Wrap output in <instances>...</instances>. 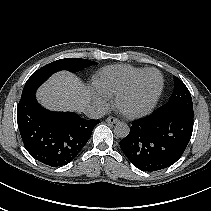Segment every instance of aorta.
I'll return each instance as SVG.
<instances>
[{
  "instance_id": "aorta-1",
  "label": "aorta",
  "mask_w": 211,
  "mask_h": 211,
  "mask_svg": "<svg viewBox=\"0 0 211 211\" xmlns=\"http://www.w3.org/2000/svg\"><path fill=\"white\" fill-rule=\"evenodd\" d=\"M129 126L126 123L119 122L114 127V133L119 138H125L129 134Z\"/></svg>"
}]
</instances>
